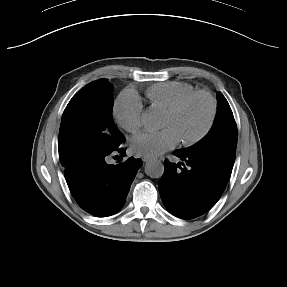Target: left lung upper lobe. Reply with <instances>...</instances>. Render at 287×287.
<instances>
[{
  "label": "left lung upper lobe",
  "mask_w": 287,
  "mask_h": 287,
  "mask_svg": "<svg viewBox=\"0 0 287 287\" xmlns=\"http://www.w3.org/2000/svg\"><path fill=\"white\" fill-rule=\"evenodd\" d=\"M218 107L209 133L195 145L183 149L198 154L229 179L235 161L237 126L232 110L221 92L217 93Z\"/></svg>",
  "instance_id": "1"
}]
</instances>
